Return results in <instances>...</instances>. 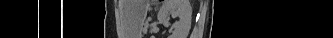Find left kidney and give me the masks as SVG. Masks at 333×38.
<instances>
[{
  "mask_svg": "<svg viewBox=\"0 0 333 38\" xmlns=\"http://www.w3.org/2000/svg\"><path fill=\"white\" fill-rule=\"evenodd\" d=\"M179 20L170 24L169 17ZM192 9L189 0H164L157 14L158 21L165 27L171 26L174 30L170 38H187L191 27Z\"/></svg>",
  "mask_w": 333,
  "mask_h": 38,
  "instance_id": "1",
  "label": "left kidney"
}]
</instances>
